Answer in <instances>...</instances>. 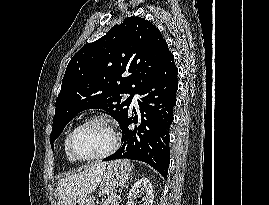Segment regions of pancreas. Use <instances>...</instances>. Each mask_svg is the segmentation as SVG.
<instances>
[{"mask_svg":"<svg viewBox=\"0 0 269 205\" xmlns=\"http://www.w3.org/2000/svg\"><path fill=\"white\" fill-rule=\"evenodd\" d=\"M119 197L116 195H112L109 200L104 202L102 205H118Z\"/></svg>","mask_w":269,"mask_h":205,"instance_id":"obj_1","label":"pancreas"}]
</instances>
